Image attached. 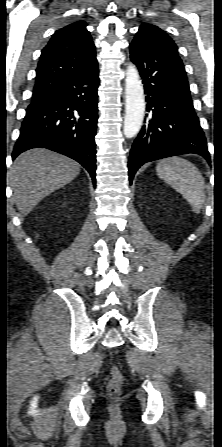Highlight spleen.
Listing matches in <instances>:
<instances>
[{
  "label": "spleen",
  "mask_w": 222,
  "mask_h": 447,
  "mask_svg": "<svg viewBox=\"0 0 222 447\" xmlns=\"http://www.w3.org/2000/svg\"><path fill=\"white\" fill-rule=\"evenodd\" d=\"M157 174L199 213L205 199L204 179L200 171L189 161L180 157L161 160L156 167Z\"/></svg>",
  "instance_id": "obj_1"
}]
</instances>
